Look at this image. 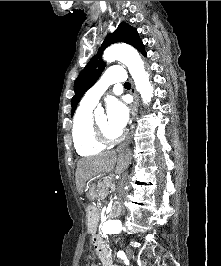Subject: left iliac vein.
I'll use <instances>...</instances> for the list:
<instances>
[{"label":"left iliac vein","mask_w":221,"mask_h":266,"mask_svg":"<svg viewBox=\"0 0 221 266\" xmlns=\"http://www.w3.org/2000/svg\"><path fill=\"white\" fill-rule=\"evenodd\" d=\"M133 258V251L131 249H127V259L131 260Z\"/></svg>","instance_id":"4c4485c4"}]
</instances>
